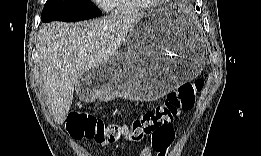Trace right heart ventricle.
Returning a JSON list of instances; mask_svg holds the SVG:
<instances>
[{
  "mask_svg": "<svg viewBox=\"0 0 261 156\" xmlns=\"http://www.w3.org/2000/svg\"><path fill=\"white\" fill-rule=\"evenodd\" d=\"M109 3L111 5L112 9H115L117 11L128 8V5L126 4L125 0H110Z\"/></svg>",
  "mask_w": 261,
  "mask_h": 156,
  "instance_id": "obj_1",
  "label": "right heart ventricle"
}]
</instances>
